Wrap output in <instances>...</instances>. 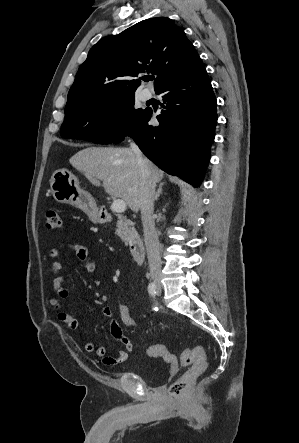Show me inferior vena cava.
Wrapping results in <instances>:
<instances>
[{
	"label": "inferior vena cava",
	"instance_id": "602c4592",
	"mask_svg": "<svg viewBox=\"0 0 299 443\" xmlns=\"http://www.w3.org/2000/svg\"><path fill=\"white\" fill-rule=\"evenodd\" d=\"M135 154L140 175V209L143 224L144 241L148 256L150 273L153 276L161 273V259L159 252V239L155 230L153 211L156 183L151 178L145 158L135 143L130 144Z\"/></svg>",
	"mask_w": 299,
	"mask_h": 443
}]
</instances>
